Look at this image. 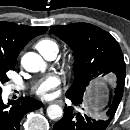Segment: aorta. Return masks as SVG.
Masks as SVG:
<instances>
[{
  "instance_id": "aorta-1",
  "label": "aorta",
  "mask_w": 130,
  "mask_h": 130,
  "mask_svg": "<svg viewBox=\"0 0 130 130\" xmlns=\"http://www.w3.org/2000/svg\"><path fill=\"white\" fill-rule=\"evenodd\" d=\"M21 64L28 72H43L47 68V64L42 57L34 52L26 53L21 59ZM47 115L52 120L59 119L63 115V110L59 105L53 104L48 106Z\"/></svg>"
}]
</instances>
